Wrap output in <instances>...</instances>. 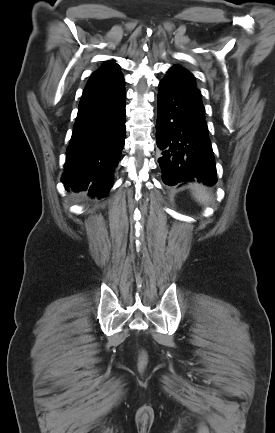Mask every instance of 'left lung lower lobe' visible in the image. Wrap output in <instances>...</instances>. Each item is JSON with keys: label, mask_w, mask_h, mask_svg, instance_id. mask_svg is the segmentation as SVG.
<instances>
[{"label": "left lung lower lobe", "mask_w": 275, "mask_h": 433, "mask_svg": "<svg viewBox=\"0 0 275 433\" xmlns=\"http://www.w3.org/2000/svg\"><path fill=\"white\" fill-rule=\"evenodd\" d=\"M156 143L163 182H217L216 166L200 91L167 78L159 83Z\"/></svg>", "instance_id": "obj_1"}]
</instances>
